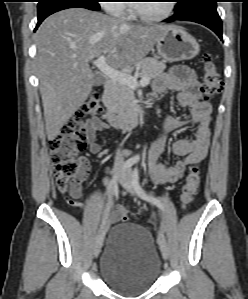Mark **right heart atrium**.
I'll return each instance as SVG.
<instances>
[{"label": "right heart atrium", "mask_w": 248, "mask_h": 299, "mask_svg": "<svg viewBox=\"0 0 248 299\" xmlns=\"http://www.w3.org/2000/svg\"><path fill=\"white\" fill-rule=\"evenodd\" d=\"M123 0H104V9L116 16L124 15L127 12V7Z\"/></svg>", "instance_id": "obj_1"}]
</instances>
